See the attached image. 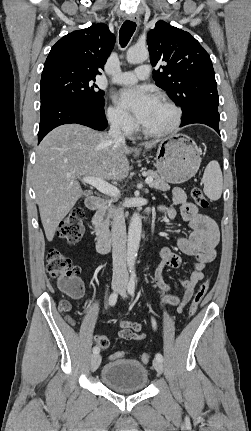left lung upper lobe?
<instances>
[{"label": "left lung upper lobe", "instance_id": "left-lung-upper-lobe-1", "mask_svg": "<svg viewBox=\"0 0 251 431\" xmlns=\"http://www.w3.org/2000/svg\"><path fill=\"white\" fill-rule=\"evenodd\" d=\"M150 61L158 87L182 108V120L208 110L218 111L219 97L210 56L188 32L158 21L147 36Z\"/></svg>", "mask_w": 251, "mask_h": 431}]
</instances>
